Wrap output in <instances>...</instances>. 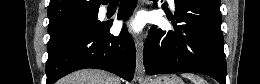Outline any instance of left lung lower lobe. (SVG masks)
I'll return each instance as SVG.
<instances>
[{"label":"left lung lower lobe","mask_w":260,"mask_h":84,"mask_svg":"<svg viewBox=\"0 0 260 84\" xmlns=\"http://www.w3.org/2000/svg\"><path fill=\"white\" fill-rule=\"evenodd\" d=\"M174 1L176 12L170 20L182 25L168 32L152 26L144 48L147 74L198 72L226 84L220 2Z\"/></svg>","instance_id":"obj_1"}]
</instances>
